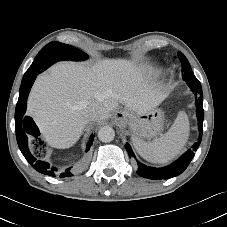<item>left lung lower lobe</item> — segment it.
Returning <instances> with one entry per match:
<instances>
[{
	"mask_svg": "<svg viewBox=\"0 0 227 227\" xmlns=\"http://www.w3.org/2000/svg\"><path fill=\"white\" fill-rule=\"evenodd\" d=\"M195 92L196 96V114L198 119V130H199V138L198 142L195 143L192 147V149H189L185 154H183L177 161L172 163L171 165L165 167V168H152L148 167L140 162L137 161L138 164V175L149 178V179H168L175 177L179 174H181L189 165L191 160L194 157V151H196L201 143L202 140V125H203V119H204V110H203V93L202 91H193ZM125 148L129 154L130 157H134L135 155L130 147V145L127 143L125 145Z\"/></svg>",
	"mask_w": 227,
	"mask_h": 227,
	"instance_id": "1",
	"label": "left lung lower lobe"
}]
</instances>
